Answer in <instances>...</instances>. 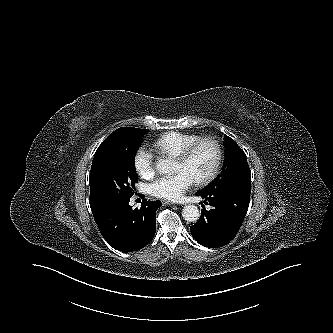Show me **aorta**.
<instances>
[{
    "label": "aorta",
    "mask_w": 333,
    "mask_h": 333,
    "mask_svg": "<svg viewBox=\"0 0 333 333\" xmlns=\"http://www.w3.org/2000/svg\"><path fill=\"white\" fill-rule=\"evenodd\" d=\"M156 167L160 173H170L173 170V162L170 159H160ZM182 216L187 222H196L200 217V212L197 206L190 204L183 207Z\"/></svg>",
    "instance_id": "obj_1"
}]
</instances>
